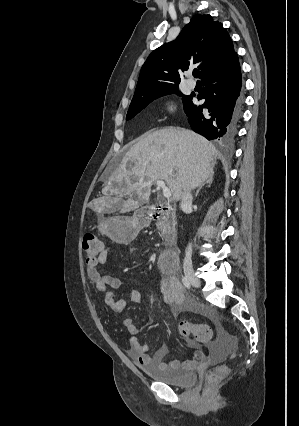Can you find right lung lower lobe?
<instances>
[{"label": "right lung lower lobe", "instance_id": "obj_1", "mask_svg": "<svg viewBox=\"0 0 299 426\" xmlns=\"http://www.w3.org/2000/svg\"><path fill=\"white\" fill-rule=\"evenodd\" d=\"M205 86L198 99H205L199 107L191 101L184 107L192 129L209 140L228 138L240 116L241 73L237 54L221 68L212 70L202 79ZM203 108L209 113L204 115Z\"/></svg>", "mask_w": 299, "mask_h": 426}]
</instances>
